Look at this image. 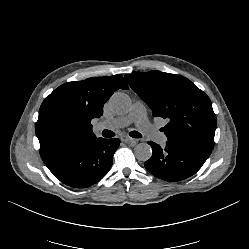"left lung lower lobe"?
Segmentation results:
<instances>
[{
	"label": "left lung lower lobe",
	"instance_id": "1",
	"mask_svg": "<svg viewBox=\"0 0 249 249\" xmlns=\"http://www.w3.org/2000/svg\"><path fill=\"white\" fill-rule=\"evenodd\" d=\"M152 157L145 168L157 178L175 182L195 174L204 164L212 150L184 142L167 141L166 146L149 141Z\"/></svg>",
	"mask_w": 249,
	"mask_h": 249
}]
</instances>
